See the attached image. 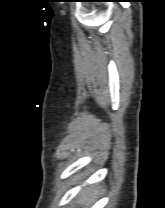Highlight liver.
Wrapping results in <instances>:
<instances>
[{
  "label": "liver",
  "mask_w": 165,
  "mask_h": 208,
  "mask_svg": "<svg viewBox=\"0 0 165 208\" xmlns=\"http://www.w3.org/2000/svg\"><path fill=\"white\" fill-rule=\"evenodd\" d=\"M96 190L92 187L85 189L81 193V201L85 204V208H90L89 206L95 201Z\"/></svg>",
  "instance_id": "6515ba94"
}]
</instances>
